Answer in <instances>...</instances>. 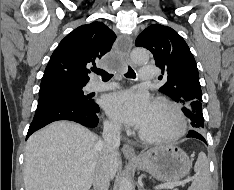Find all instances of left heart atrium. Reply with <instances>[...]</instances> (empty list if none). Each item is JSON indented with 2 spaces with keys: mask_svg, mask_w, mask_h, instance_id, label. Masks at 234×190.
Segmentation results:
<instances>
[{
  "mask_svg": "<svg viewBox=\"0 0 234 190\" xmlns=\"http://www.w3.org/2000/svg\"><path fill=\"white\" fill-rule=\"evenodd\" d=\"M103 105L115 121L141 129L149 118L153 102L145 92L123 90L107 95Z\"/></svg>",
  "mask_w": 234,
  "mask_h": 190,
  "instance_id": "39dd6f15",
  "label": "left heart atrium"
}]
</instances>
